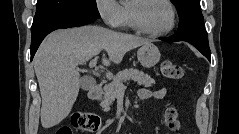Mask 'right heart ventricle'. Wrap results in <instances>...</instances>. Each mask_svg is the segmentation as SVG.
<instances>
[{
	"mask_svg": "<svg viewBox=\"0 0 239 134\" xmlns=\"http://www.w3.org/2000/svg\"><path fill=\"white\" fill-rule=\"evenodd\" d=\"M129 3L130 2H126L122 6V9H123V22H122V25L126 26V27L131 26L130 17H129V9H128Z\"/></svg>",
	"mask_w": 239,
	"mask_h": 134,
	"instance_id": "right-heart-ventricle-1",
	"label": "right heart ventricle"
}]
</instances>
